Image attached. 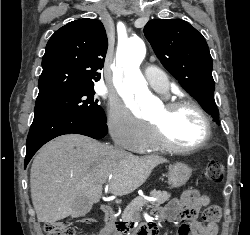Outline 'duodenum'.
Listing matches in <instances>:
<instances>
[{
    "mask_svg": "<svg viewBox=\"0 0 250 235\" xmlns=\"http://www.w3.org/2000/svg\"><path fill=\"white\" fill-rule=\"evenodd\" d=\"M101 211L104 216V226L100 231V235H128L132 234V228L126 226L124 222L118 221L113 210L108 205H101ZM157 230L155 223H147L142 229H138L135 235H156Z\"/></svg>",
    "mask_w": 250,
    "mask_h": 235,
    "instance_id": "duodenum-1",
    "label": "duodenum"
}]
</instances>
